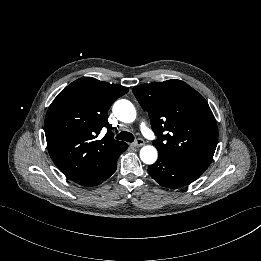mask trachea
<instances>
[{
	"label": "trachea",
	"instance_id": "3493384b",
	"mask_svg": "<svg viewBox=\"0 0 261 261\" xmlns=\"http://www.w3.org/2000/svg\"><path fill=\"white\" fill-rule=\"evenodd\" d=\"M116 139L122 140V141H127V142H133L134 141V136L132 133L127 132V131H122L120 132L117 136Z\"/></svg>",
	"mask_w": 261,
	"mask_h": 261
}]
</instances>
